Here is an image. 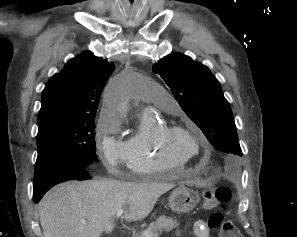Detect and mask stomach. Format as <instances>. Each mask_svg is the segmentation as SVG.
Masks as SVG:
<instances>
[{
	"label": "stomach",
	"instance_id": "0dacf381",
	"mask_svg": "<svg viewBox=\"0 0 297 237\" xmlns=\"http://www.w3.org/2000/svg\"><path fill=\"white\" fill-rule=\"evenodd\" d=\"M198 202V194L184 186L174 190L169 197L171 209L178 213H189L196 207Z\"/></svg>",
	"mask_w": 297,
	"mask_h": 237
}]
</instances>
